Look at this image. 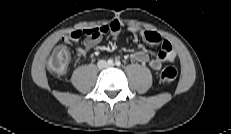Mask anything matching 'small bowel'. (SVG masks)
Listing matches in <instances>:
<instances>
[{
    "instance_id": "c3829d8e",
    "label": "small bowel",
    "mask_w": 231,
    "mask_h": 134,
    "mask_svg": "<svg viewBox=\"0 0 231 134\" xmlns=\"http://www.w3.org/2000/svg\"><path fill=\"white\" fill-rule=\"evenodd\" d=\"M121 30V24L118 20H113L108 25L101 26L94 29L75 30L63 37L66 44H74L81 36L85 35L84 46L87 49L96 46L102 39L103 35L109 33L117 39ZM131 35L135 41L142 38L149 44L160 46V51L156 58L151 59L145 51H135L131 54V59L143 64H147L153 70H160L165 63H172L176 60L177 54L173 49L171 43L164 39L161 35L153 31H142L138 28H131ZM78 54L86 57V52L83 49H76Z\"/></svg>"
}]
</instances>
